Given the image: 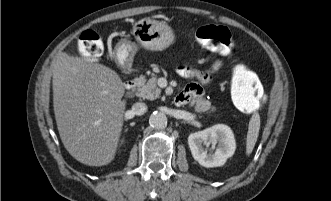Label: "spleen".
Here are the masks:
<instances>
[{"mask_svg": "<svg viewBox=\"0 0 331 201\" xmlns=\"http://www.w3.org/2000/svg\"><path fill=\"white\" fill-rule=\"evenodd\" d=\"M260 130V116L258 113H254L250 119L247 138H246V154L249 156L257 142V138Z\"/></svg>", "mask_w": 331, "mask_h": 201, "instance_id": "obj_1", "label": "spleen"}]
</instances>
